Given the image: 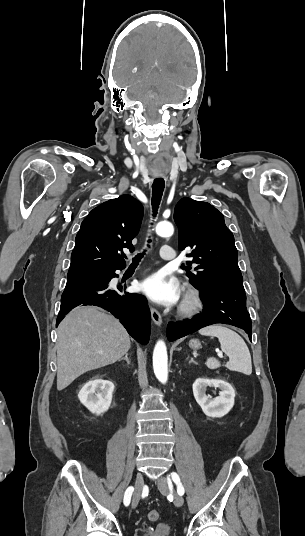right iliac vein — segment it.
<instances>
[{
    "instance_id": "right-iliac-vein-1",
    "label": "right iliac vein",
    "mask_w": 305,
    "mask_h": 536,
    "mask_svg": "<svg viewBox=\"0 0 305 536\" xmlns=\"http://www.w3.org/2000/svg\"><path fill=\"white\" fill-rule=\"evenodd\" d=\"M143 477L141 474H137L136 480H135V491L132 498V507L136 508L139 500L141 498L142 489H143Z\"/></svg>"
}]
</instances>
